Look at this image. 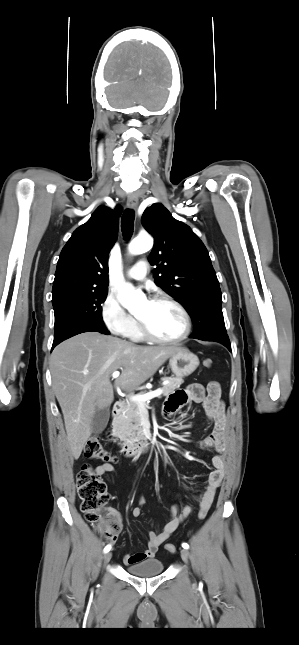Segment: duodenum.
<instances>
[{
	"instance_id": "1",
	"label": "duodenum",
	"mask_w": 299,
	"mask_h": 645,
	"mask_svg": "<svg viewBox=\"0 0 299 645\" xmlns=\"http://www.w3.org/2000/svg\"><path fill=\"white\" fill-rule=\"evenodd\" d=\"M124 411V404L122 402H116L113 405V417L118 418ZM110 437H113V434H110ZM152 440L150 438H144L138 442H124L121 443V451L127 457H136L142 455L149 451L152 447Z\"/></svg>"
}]
</instances>
